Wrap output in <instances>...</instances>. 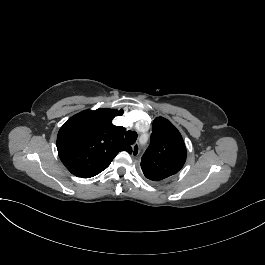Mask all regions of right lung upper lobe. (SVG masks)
I'll return each instance as SVG.
<instances>
[{
	"instance_id": "obj_1",
	"label": "right lung upper lobe",
	"mask_w": 265,
	"mask_h": 265,
	"mask_svg": "<svg viewBox=\"0 0 265 265\" xmlns=\"http://www.w3.org/2000/svg\"><path fill=\"white\" fill-rule=\"evenodd\" d=\"M123 110H85L72 116L59 130L57 150L67 169L90 178L105 170L120 151L132 152L124 140L125 128L112 124Z\"/></svg>"
}]
</instances>
